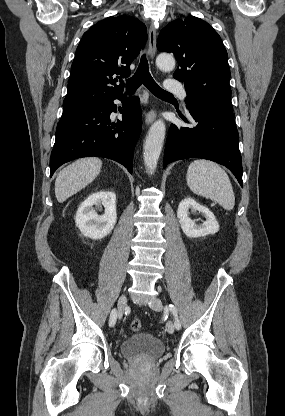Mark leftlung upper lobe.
I'll return each instance as SVG.
<instances>
[{"label": "left lung upper lobe", "instance_id": "obj_1", "mask_svg": "<svg viewBox=\"0 0 285 416\" xmlns=\"http://www.w3.org/2000/svg\"><path fill=\"white\" fill-rule=\"evenodd\" d=\"M157 49L175 55L179 66L173 77L184 82L187 108L232 110L227 51L207 22L187 16L169 23L159 34Z\"/></svg>", "mask_w": 285, "mask_h": 416}]
</instances>
